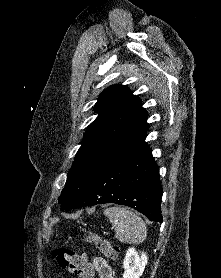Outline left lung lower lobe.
Instances as JSON below:
<instances>
[{
  "mask_svg": "<svg viewBox=\"0 0 221 278\" xmlns=\"http://www.w3.org/2000/svg\"><path fill=\"white\" fill-rule=\"evenodd\" d=\"M145 137L144 133L110 160L73 209L115 203L129 206L151 221L162 222L159 168Z\"/></svg>",
  "mask_w": 221,
  "mask_h": 278,
  "instance_id": "left-lung-lower-lobe-1",
  "label": "left lung lower lobe"
}]
</instances>
